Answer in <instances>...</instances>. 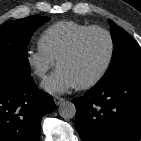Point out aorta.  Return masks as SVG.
Listing matches in <instances>:
<instances>
[{
  "mask_svg": "<svg viewBox=\"0 0 141 141\" xmlns=\"http://www.w3.org/2000/svg\"><path fill=\"white\" fill-rule=\"evenodd\" d=\"M59 114L64 119H71L76 115V107L72 102L65 101L59 106Z\"/></svg>",
  "mask_w": 141,
  "mask_h": 141,
  "instance_id": "aorta-1",
  "label": "aorta"
}]
</instances>
